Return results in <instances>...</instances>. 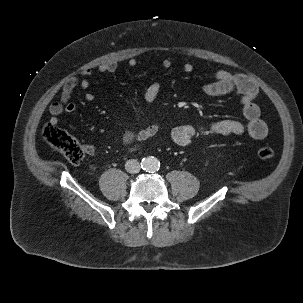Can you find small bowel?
<instances>
[{
	"instance_id": "1",
	"label": "small bowel",
	"mask_w": 303,
	"mask_h": 303,
	"mask_svg": "<svg viewBox=\"0 0 303 303\" xmlns=\"http://www.w3.org/2000/svg\"><path fill=\"white\" fill-rule=\"evenodd\" d=\"M130 67L137 65V60L130 58L128 60ZM162 67L169 70L172 63L169 59L162 62ZM118 65L114 61L102 63L98 70L101 73H114ZM183 73L189 74L193 71V65L185 63L181 67ZM82 78H71L63 86L60 99L53 102L49 107L51 115L50 123L57 124L59 116L63 113H73L76 109L75 104L71 98L76 88L88 89L90 86L89 78L92 75L91 69H85L81 72ZM162 82L160 80L153 81L144 92V99L148 104H153L161 91ZM203 92L213 98L223 97L230 94H237L242 107V114L244 119L239 120H222L207 125H180L172 129V140L179 146H187L193 140L201 136L208 135H243L246 134L253 139H263L268 133L266 123L260 118V109L256 104L255 99L258 93L257 85L253 80L244 74L231 73L226 70H218L215 72V80L203 86ZM86 101L91 102L95 96L91 92L84 94ZM160 130V124L154 122L147 127L133 132L127 130L124 135L126 141H145ZM87 154L91 155L94 148L91 145L85 146Z\"/></svg>"
}]
</instances>
